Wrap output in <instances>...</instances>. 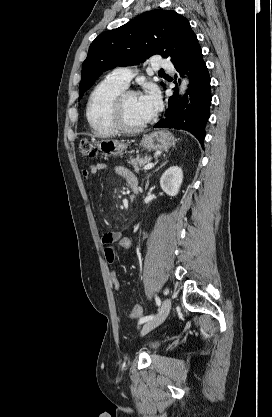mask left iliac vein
<instances>
[{
  "label": "left iliac vein",
  "instance_id": "obj_1",
  "mask_svg": "<svg viewBox=\"0 0 272 417\" xmlns=\"http://www.w3.org/2000/svg\"><path fill=\"white\" fill-rule=\"evenodd\" d=\"M171 309V300L169 298H165L162 302V306L158 312V314L152 318L151 320L147 321L141 330V334L145 335L147 334L149 331H151L152 329H154L155 327L159 326L160 324H162L165 319L167 318L169 312Z\"/></svg>",
  "mask_w": 272,
  "mask_h": 417
}]
</instances>
